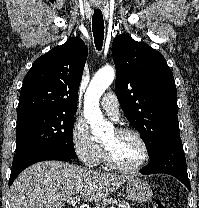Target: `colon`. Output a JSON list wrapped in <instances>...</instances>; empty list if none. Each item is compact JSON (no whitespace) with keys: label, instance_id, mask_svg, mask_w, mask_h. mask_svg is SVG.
<instances>
[{"label":"colon","instance_id":"obj_1","mask_svg":"<svg viewBox=\"0 0 199 208\" xmlns=\"http://www.w3.org/2000/svg\"><path fill=\"white\" fill-rule=\"evenodd\" d=\"M151 208H167L166 204L161 200H156L153 202Z\"/></svg>","mask_w":199,"mask_h":208}]
</instances>
